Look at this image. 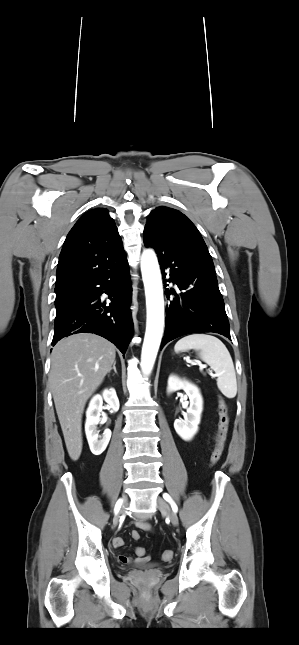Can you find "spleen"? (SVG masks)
<instances>
[{"label": "spleen", "instance_id": "obj_1", "mask_svg": "<svg viewBox=\"0 0 299 645\" xmlns=\"http://www.w3.org/2000/svg\"><path fill=\"white\" fill-rule=\"evenodd\" d=\"M175 351L194 349L217 376V386L227 398L237 394L236 373L232 358L226 346L216 337L208 334H191L178 340Z\"/></svg>", "mask_w": 299, "mask_h": 645}]
</instances>
